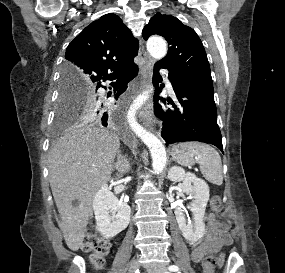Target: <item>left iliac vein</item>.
<instances>
[{
  "mask_svg": "<svg viewBox=\"0 0 285 273\" xmlns=\"http://www.w3.org/2000/svg\"><path fill=\"white\" fill-rule=\"evenodd\" d=\"M149 273H169L165 266L159 265L148 269Z\"/></svg>",
  "mask_w": 285,
  "mask_h": 273,
  "instance_id": "obj_1",
  "label": "left iliac vein"
}]
</instances>
